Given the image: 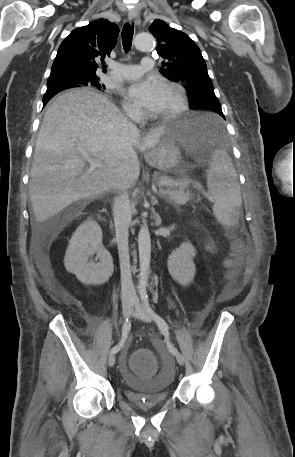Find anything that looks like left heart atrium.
Wrapping results in <instances>:
<instances>
[{
    "instance_id": "1",
    "label": "left heart atrium",
    "mask_w": 295,
    "mask_h": 457,
    "mask_svg": "<svg viewBox=\"0 0 295 457\" xmlns=\"http://www.w3.org/2000/svg\"><path fill=\"white\" fill-rule=\"evenodd\" d=\"M162 89L163 86L157 80L149 78L131 84L127 96L136 105L154 111L160 101Z\"/></svg>"
}]
</instances>
